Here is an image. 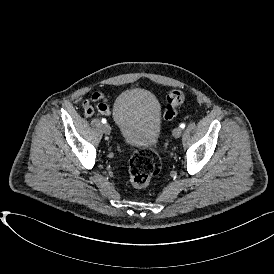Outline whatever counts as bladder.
<instances>
[{"label":"bladder","mask_w":274,"mask_h":274,"mask_svg":"<svg viewBox=\"0 0 274 274\" xmlns=\"http://www.w3.org/2000/svg\"><path fill=\"white\" fill-rule=\"evenodd\" d=\"M112 116L123 141L132 147L149 148L161 133V111L148 90L131 88L115 100Z\"/></svg>","instance_id":"1"}]
</instances>
